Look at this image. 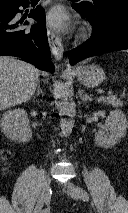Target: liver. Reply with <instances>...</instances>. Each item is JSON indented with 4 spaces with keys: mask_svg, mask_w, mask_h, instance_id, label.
<instances>
[{
    "mask_svg": "<svg viewBox=\"0 0 128 213\" xmlns=\"http://www.w3.org/2000/svg\"><path fill=\"white\" fill-rule=\"evenodd\" d=\"M40 72L33 65L0 56V111L28 101L39 83Z\"/></svg>",
    "mask_w": 128,
    "mask_h": 213,
    "instance_id": "obj_1",
    "label": "liver"
}]
</instances>
